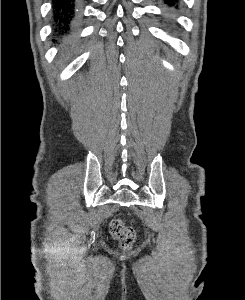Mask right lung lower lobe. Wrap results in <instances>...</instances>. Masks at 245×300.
<instances>
[{"instance_id":"98d812e1","label":"right lung lower lobe","mask_w":245,"mask_h":300,"mask_svg":"<svg viewBox=\"0 0 245 300\" xmlns=\"http://www.w3.org/2000/svg\"><path fill=\"white\" fill-rule=\"evenodd\" d=\"M81 0H53V19L57 33L69 38L78 23ZM54 41V40H53Z\"/></svg>"}]
</instances>
